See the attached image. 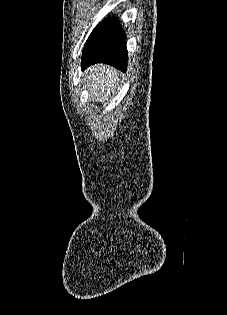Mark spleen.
<instances>
[{"instance_id": "spleen-1", "label": "spleen", "mask_w": 227, "mask_h": 315, "mask_svg": "<svg viewBox=\"0 0 227 315\" xmlns=\"http://www.w3.org/2000/svg\"><path fill=\"white\" fill-rule=\"evenodd\" d=\"M91 95L100 102L106 101L117 92L120 79L117 72L107 66H95L90 74Z\"/></svg>"}]
</instances>
